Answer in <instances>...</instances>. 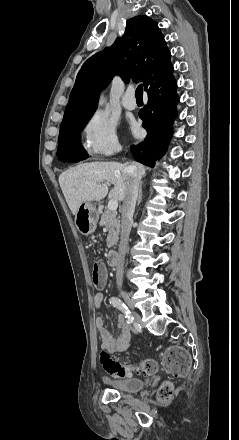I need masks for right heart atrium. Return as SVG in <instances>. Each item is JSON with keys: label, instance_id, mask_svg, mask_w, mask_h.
<instances>
[{"label": "right heart atrium", "instance_id": "1", "mask_svg": "<svg viewBox=\"0 0 239 440\" xmlns=\"http://www.w3.org/2000/svg\"><path fill=\"white\" fill-rule=\"evenodd\" d=\"M82 138L89 157H109L120 149L116 124L101 110L93 112L85 121Z\"/></svg>", "mask_w": 239, "mask_h": 440}]
</instances>
